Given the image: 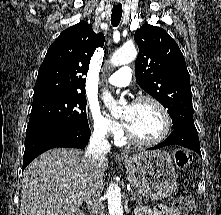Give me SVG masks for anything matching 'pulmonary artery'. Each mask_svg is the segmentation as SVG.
<instances>
[{"label": "pulmonary artery", "mask_w": 221, "mask_h": 215, "mask_svg": "<svg viewBox=\"0 0 221 215\" xmlns=\"http://www.w3.org/2000/svg\"><path fill=\"white\" fill-rule=\"evenodd\" d=\"M132 71L129 67H121L108 77L107 82L115 86H125L131 81Z\"/></svg>", "instance_id": "1"}]
</instances>
